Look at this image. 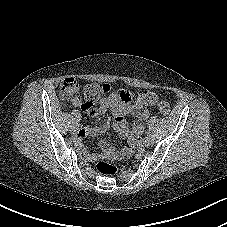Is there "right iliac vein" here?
Segmentation results:
<instances>
[{"mask_svg":"<svg viewBox=\"0 0 227 227\" xmlns=\"http://www.w3.org/2000/svg\"><path fill=\"white\" fill-rule=\"evenodd\" d=\"M76 132H77V128H74V127H73L72 130H71V133H72V134H76Z\"/></svg>","mask_w":227,"mask_h":227,"instance_id":"obj_1","label":"right iliac vein"}]
</instances>
